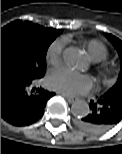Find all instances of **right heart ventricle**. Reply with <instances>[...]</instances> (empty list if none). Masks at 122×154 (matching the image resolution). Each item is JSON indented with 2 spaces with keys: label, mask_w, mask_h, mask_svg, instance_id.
<instances>
[{
  "label": "right heart ventricle",
  "mask_w": 122,
  "mask_h": 154,
  "mask_svg": "<svg viewBox=\"0 0 122 154\" xmlns=\"http://www.w3.org/2000/svg\"><path fill=\"white\" fill-rule=\"evenodd\" d=\"M68 40V37L65 38ZM83 46L86 48L90 59L93 62H101L108 56V50L106 46L97 40L84 41Z\"/></svg>",
  "instance_id": "right-heart-ventricle-1"
}]
</instances>
